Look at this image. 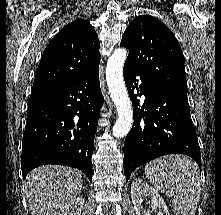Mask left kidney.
Wrapping results in <instances>:
<instances>
[{"instance_id":"5707ae66","label":"left kidney","mask_w":221,"mask_h":215,"mask_svg":"<svg viewBox=\"0 0 221 215\" xmlns=\"http://www.w3.org/2000/svg\"><path fill=\"white\" fill-rule=\"evenodd\" d=\"M143 197L151 198V208L157 212L158 215H170L167 205L159 192L144 180L136 178L131 184V198L136 215H150L142 206Z\"/></svg>"}]
</instances>
